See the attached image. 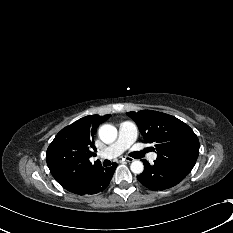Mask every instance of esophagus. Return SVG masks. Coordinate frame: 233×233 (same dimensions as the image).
I'll return each instance as SVG.
<instances>
[{
	"instance_id": "1",
	"label": "esophagus",
	"mask_w": 233,
	"mask_h": 233,
	"mask_svg": "<svg viewBox=\"0 0 233 233\" xmlns=\"http://www.w3.org/2000/svg\"><path fill=\"white\" fill-rule=\"evenodd\" d=\"M123 160H125L126 162H133L134 159L132 157H125Z\"/></svg>"
}]
</instances>
